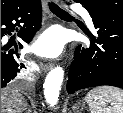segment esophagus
<instances>
[{
  "label": "esophagus",
  "instance_id": "obj_1",
  "mask_svg": "<svg viewBox=\"0 0 123 113\" xmlns=\"http://www.w3.org/2000/svg\"><path fill=\"white\" fill-rule=\"evenodd\" d=\"M52 68H53V63H46V64H42L41 65V69L44 72H47V71H49Z\"/></svg>",
  "mask_w": 123,
  "mask_h": 113
}]
</instances>
